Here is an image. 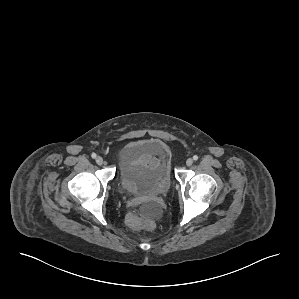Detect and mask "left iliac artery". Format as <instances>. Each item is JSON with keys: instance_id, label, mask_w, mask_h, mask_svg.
Instances as JSON below:
<instances>
[{"instance_id": "44dca946", "label": "left iliac artery", "mask_w": 299, "mask_h": 299, "mask_svg": "<svg viewBox=\"0 0 299 299\" xmlns=\"http://www.w3.org/2000/svg\"><path fill=\"white\" fill-rule=\"evenodd\" d=\"M193 160H195V161L198 160V156H197V155H194V156H193Z\"/></svg>"}]
</instances>
